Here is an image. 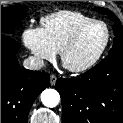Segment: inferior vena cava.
Listing matches in <instances>:
<instances>
[{"label": "inferior vena cava", "mask_w": 123, "mask_h": 123, "mask_svg": "<svg viewBox=\"0 0 123 123\" xmlns=\"http://www.w3.org/2000/svg\"><path fill=\"white\" fill-rule=\"evenodd\" d=\"M23 66L29 70H40L44 66V61L40 57L30 56L24 60Z\"/></svg>", "instance_id": "602c4592"}]
</instances>
